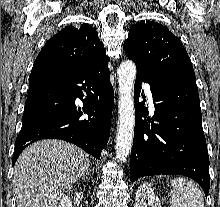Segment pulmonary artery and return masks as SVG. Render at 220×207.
I'll use <instances>...</instances> for the list:
<instances>
[{
    "label": "pulmonary artery",
    "mask_w": 220,
    "mask_h": 207,
    "mask_svg": "<svg viewBox=\"0 0 220 207\" xmlns=\"http://www.w3.org/2000/svg\"><path fill=\"white\" fill-rule=\"evenodd\" d=\"M144 88H145V93L147 95V98L149 99V103H150L151 107H153L154 104H153L152 94H151L150 88L148 85H145Z\"/></svg>",
    "instance_id": "1"
}]
</instances>
